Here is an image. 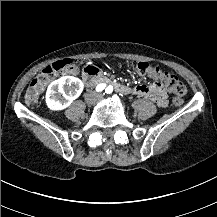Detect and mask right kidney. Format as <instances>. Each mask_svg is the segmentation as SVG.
Masks as SVG:
<instances>
[{
    "label": "right kidney",
    "mask_w": 217,
    "mask_h": 217,
    "mask_svg": "<svg viewBox=\"0 0 217 217\" xmlns=\"http://www.w3.org/2000/svg\"><path fill=\"white\" fill-rule=\"evenodd\" d=\"M83 88L84 84L79 78L74 76L61 77L60 79L53 81L47 89V106L51 110L65 109L74 99L79 97ZM65 92H68L69 95Z\"/></svg>",
    "instance_id": "ca27d5eb"
}]
</instances>
